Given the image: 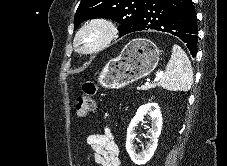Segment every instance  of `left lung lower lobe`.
<instances>
[{
  "mask_svg": "<svg viewBox=\"0 0 227 166\" xmlns=\"http://www.w3.org/2000/svg\"><path fill=\"white\" fill-rule=\"evenodd\" d=\"M150 29L179 37L196 55L198 27L192 0H147L134 32Z\"/></svg>",
  "mask_w": 227,
  "mask_h": 166,
  "instance_id": "obj_1",
  "label": "left lung lower lobe"
}]
</instances>
